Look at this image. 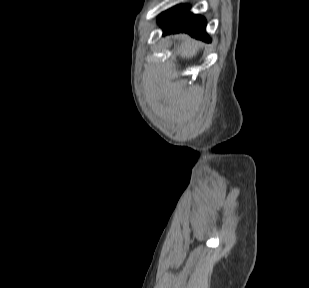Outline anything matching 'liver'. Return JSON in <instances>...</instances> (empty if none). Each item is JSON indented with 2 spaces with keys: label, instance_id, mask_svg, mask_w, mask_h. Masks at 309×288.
<instances>
[{
  "label": "liver",
  "instance_id": "1",
  "mask_svg": "<svg viewBox=\"0 0 309 288\" xmlns=\"http://www.w3.org/2000/svg\"><path fill=\"white\" fill-rule=\"evenodd\" d=\"M199 49H200L199 42L187 38L186 41L180 46L179 54L182 58L189 59L192 58L193 56H196Z\"/></svg>",
  "mask_w": 309,
  "mask_h": 288
}]
</instances>
